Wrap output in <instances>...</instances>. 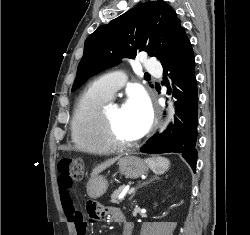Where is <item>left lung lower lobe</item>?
<instances>
[{"mask_svg": "<svg viewBox=\"0 0 250 235\" xmlns=\"http://www.w3.org/2000/svg\"><path fill=\"white\" fill-rule=\"evenodd\" d=\"M164 74L168 75L176 102L175 122L160 135L152 137L141 150L144 153H181L196 170L198 90L194 68V53L191 43L181 29L170 53L161 62ZM168 72H170L168 74ZM165 78V76H164ZM166 83H168L166 81ZM170 85L168 83V92Z\"/></svg>", "mask_w": 250, "mask_h": 235, "instance_id": "obj_1", "label": "left lung lower lobe"}]
</instances>
